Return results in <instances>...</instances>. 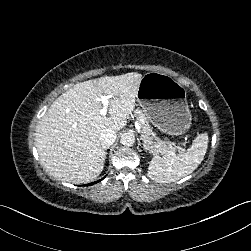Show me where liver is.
Wrapping results in <instances>:
<instances>
[{
  "mask_svg": "<svg viewBox=\"0 0 251 251\" xmlns=\"http://www.w3.org/2000/svg\"><path fill=\"white\" fill-rule=\"evenodd\" d=\"M142 75L130 72L75 84L60 95L36 127V148L50 175L74 184L88 183L103 170L106 152L99 140L104 129L115 132L135 108ZM102 95L110 117L100 115Z\"/></svg>",
  "mask_w": 251,
  "mask_h": 251,
  "instance_id": "1",
  "label": "liver"
}]
</instances>
